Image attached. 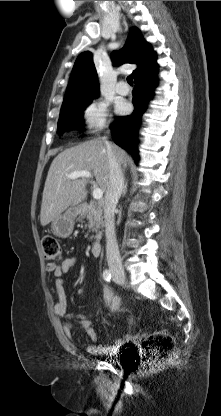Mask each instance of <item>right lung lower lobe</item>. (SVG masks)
Here are the masks:
<instances>
[{"label":"right lung lower lobe","mask_w":221,"mask_h":416,"mask_svg":"<svg viewBox=\"0 0 221 416\" xmlns=\"http://www.w3.org/2000/svg\"><path fill=\"white\" fill-rule=\"evenodd\" d=\"M157 69L151 73L135 79L133 90L134 111L130 116L120 117L112 126L114 142L127 150L138 162L137 136L141 125L142 115L145 113L148 102L153 96L157 85Z\"/></svg>","instance_id":"right-lung-lower-lobe-1"}]
</instances>
